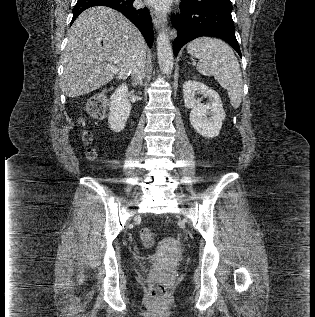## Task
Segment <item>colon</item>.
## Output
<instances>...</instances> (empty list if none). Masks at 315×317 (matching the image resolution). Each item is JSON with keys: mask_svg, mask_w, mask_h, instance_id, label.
I'll return each instance as SVG.
<instances>
[{"mask_svg": "<svg viewBox=\"0 0 315 317\" xmlns=\"http://www.w3.org/2000/svg\"><path fill=\"white\" fill-rule=\"evenodd\" d=\"M90 111L95 116H102L105 111L104 103L101 99L95 98L91 101L89 105ZM91 135L89 132L84 131L82 133V140L85 144H90ZM87 156L90 159L95 158L96 152L93 148L89 147L87 149ZM140 239L145 247H152L154 244V233L149 228H142L140 231ZM167 295V288L164 283L158 280H153L150 284V297L156 301L163 300Z\"/></svg>", "mask_w": 315, "mask_h": 317, "instance_id": "colon-1", "label": "colon"}]
</instances>
